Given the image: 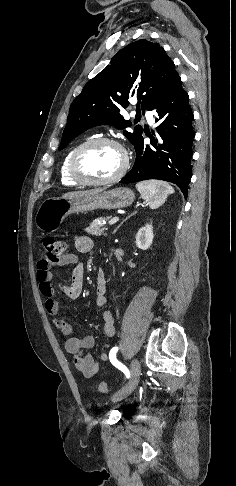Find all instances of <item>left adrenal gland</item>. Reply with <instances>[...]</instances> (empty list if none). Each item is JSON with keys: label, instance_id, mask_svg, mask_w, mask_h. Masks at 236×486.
<instances>
[{"label": "left adrenal gland", "instance_id": "left-adrenal-gland-1", "mask_svg": "<svg viewBox=\"0 0 236 486\" xmlns=\"http://www.w3.org/2000/svg\"><path fill=\"white\" fill-rule=\"evenodd\" d=\"M132 215H134V213H133V214H131V215H129V216H128V217H127V218H126V219H125L123 222H121V224H120V225H118V226L116 227V229L113 231V234H114V233H116V231H117V230H118V229L121 227V225H122V224H123V223H124V222H125V221H126L128 218H129V217H131Z\"/></svg>", "mask_w": 236, "mask_h": 486}]
</instances>
